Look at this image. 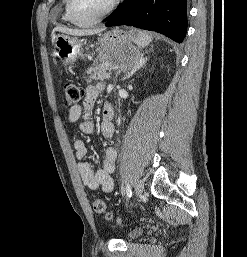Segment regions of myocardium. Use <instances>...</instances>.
Returning a JSON list of instances; mask_svg holds the SVG:
<instances>
[{
	"label": "myocardium",
	"mask_w": 247,
	"mask_h": 257,
	"mask_svg": "<svg viewBox=\"0 0 247 257\" xmlns=\"http://www.w3.org/2000/svg\"><path fill=\"white\" fill-rule=\"evenodd\" d=\"M120 2L121 0H112L109 6L102 13L89 20H83L77 16L74 7L75 0H68V12L74 24L81 27H88L100 22L105 17L110 15L117 8Z\"/></svg>",
	"instance_id": "myocardium-1"
}]
</instances>
